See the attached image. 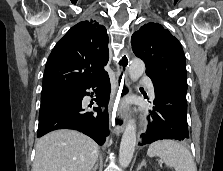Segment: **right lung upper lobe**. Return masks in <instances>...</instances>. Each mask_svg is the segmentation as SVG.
I'll return each instance as SVG.
<instances>
[{
	"label": "right lung upper lobe",
	"instance_id": "obj_1",
	"mask_svg": "<svg viewBox=\"0 0 223 171\" xmlns=\"http://www.w3.org/2000/svg\"><path fill=\"white\" fill-rule=\"evenodd\" d=\"M108 35L94 20L73 26L53 48L45 66L41 97L81 88L105 72Z\"/></svg>",
	"mask_w": 223,
	"mask_h": 171
}]
</instances>
